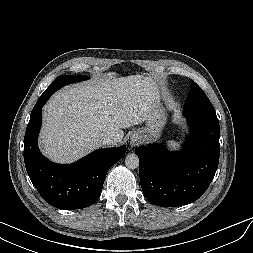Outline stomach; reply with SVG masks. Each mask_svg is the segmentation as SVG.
<instances>
[{
  "label": "stomach",
  "mask_w": 253,
  "mask_h": 253,
  "mask_svg": "<svg viewBox=\"0 0 253 253\" xmlns=\"http://www.w3.org/2000/svg\"><path fill=\"white\" fill-rule=\"evenodd\" d=\"M167 117L164 108L161 106L160 99L155 101L149 117L146 121L147 127L139 130L144 140L159 139L166 124Z\"/></svg>",
  "instance_id": "stomach-1"
}]
</instances>
